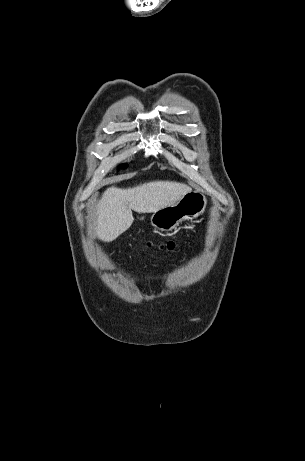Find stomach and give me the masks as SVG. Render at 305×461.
<instances>
[{"label": "stomach", "instance_id": "1", "mask_svg": "<svg viewBox=\"0 0 305 461\" xmlns=\"http://www.w3.org/2000/svg\"><path fill=\"white\" fill-rule=\"evenodd\" d=\"M207 206L206 196L198 191H190L172 206H167L151 216V225L161 231L175 229L183 220H193L200 216Z\"/></svg>", "mask_w": 305, "mask_h": 461}]
</instances>
